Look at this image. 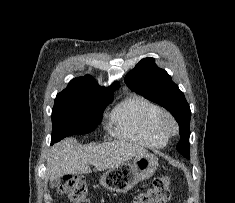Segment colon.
Returning a JSON list of instances; mask_svg holds the SVG:
<instances>
[{
  "instance_id": "obj_1",
  "label": "colon",
  "mask_w": 235,
  "mask_h": 203,
  "mask_svg": "<svg viewBox=\"0 0 235 203\" xmlns=\"http://www.w3.org/2000/svg\"><path fill=\"white\" fill-rule=\"evenodd\" d=\"M59 191L66 195L71 203H91L86 182L80 176H65ZM170 197L169 178L160 176L154 179L150 187L138 193L132 203H166Z\"/></svg>"
}]
</instances>
